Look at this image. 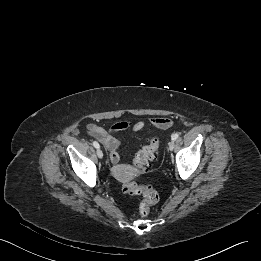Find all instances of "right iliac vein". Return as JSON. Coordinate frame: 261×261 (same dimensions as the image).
Listing matches in <instances>:
<instances>
[{
	"label": "right iliac vein",
	"mask_w": 261,
	"mask_h": 261,
	"mask_svg": "<svg viewBox=\"0 0 261 261\" xmlns=\"http://www.w3.org/2000/svg\"><path fill=\"white\" fill-rule=\"evenodd\" d=\"M97 155H98V157H99L100 159L103 158V152H102L101 149H98V150H97Z\"/></svg>",
	"instance_id": "63e3f726"
}]
</instances>
